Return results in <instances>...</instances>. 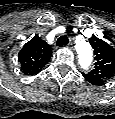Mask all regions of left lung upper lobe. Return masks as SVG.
<instances>
[{
    "label": "left lung upper lobe",
    "mask_w": 115,
    "mask_h": 119,
    "mask_svg": "<svg viewBox=\"0 0 115 119\" xmlns=\"http://www.w3.org/2000/svg\"><path fill=\"white\" fill-rule=\"evenodd\" d=\"M95 54L94 69L89 74L109 80L115 75V49L93 35L89 39Z\"/></svg>",
    "instance_id": "1"
}]
</instances>
